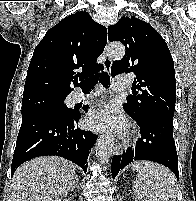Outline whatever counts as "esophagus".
I'll return each mask as SVG.
<instances>
[{"label": "esophagus", "mask_w": 196, "mask_h": 201, "mask_svg": "<svg viewBox=\"0 0 196 201\" xmlns=\"http://www.w3.org/2000/svg\"><path fill=\"white\" fill-rule=\"evenodd\" d=\"M105 54V52H104ZM111 66H112V59L108 58L106 56L105 61H104V67L105 70L110 74L111 73ZM124 144L122 143H117L116 146L114 147V154L116 155H121L124 152Z\"/></svg>", "instance_id": "esophagus-1"}]
</instances>
